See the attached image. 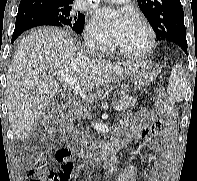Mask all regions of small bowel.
Wrapping results in <instances>:
<instances>
[{"label": "small bowel", "instance_id": "small-bowel-1", "mask_svg": "<svg viewBox=\"0 0 197 181\" xmlns=\"http://www.w3.org/2000/svg\"><path fill=\"white\" fill-rule=\"evenodd\" d=\"M127 124L130 130H122L124 136L129 140L145 142L149 151L160 156V160L150 172L149 181H169L174 160L173 124L158 120L149 110H142L136 116L129 117ZM136 172V165H128L123 170L119 181H135Z\"/></svg>", "mask_w": 197, "mask_h": 181}]
</instances>
